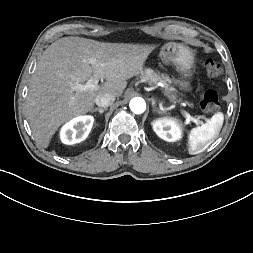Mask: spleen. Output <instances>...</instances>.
Returning <instances> with one entry per match:
<instances>
[{
    "mask_svg": "<svg viewBox=\"0 0 253 253\" xmlns=\"http://www.w3.org/2000/svg\"><path fill=\"white\" fill-rule=\"evenodd\" d=\"M224 115L218 112L205 124L193 128L188 136V153L195 155L203 152L207 145L220 133Z\"/></svg>",
    "mask_w": 253,
    "mask_h": 253,
    "instance_id": "1",
    "label": "spleen"
}]
</instances>
